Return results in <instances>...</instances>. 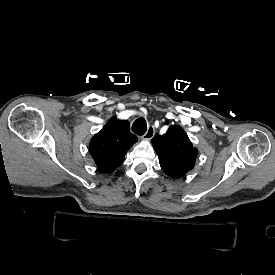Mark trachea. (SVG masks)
Listing matches in <instances>:
<instances>
[{
  "label": "trachea",
  "instance_id": "3493384b",
  "mask_svg": "<svg viewBox=\"0 0 275 275\" xmlns=\"http://www.w3.org/2000/svg\"><path fill=\"white\" fill-rule=\"evenodd\" d=\"M147 130V124L144 119L139 118L132 124V131L137 135H143Z\"/></svg>",
  "mask_w": 275,
  "mask_h": 275
}]
</instances>
